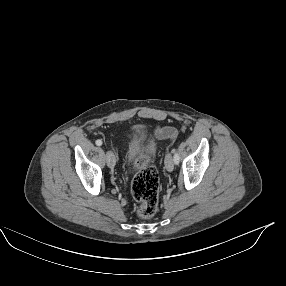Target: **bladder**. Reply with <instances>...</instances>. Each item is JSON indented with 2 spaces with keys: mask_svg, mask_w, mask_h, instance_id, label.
<instances>
[{
  "mask_svg": "<svg viewBox=\"0 0 286 286\" xmlns=\"http://www.w3.org/2000/svg\"><path fill=\"white\" fill-rule=\"evenodd\" d=\"M158 147L151 136H135L126 146L124 159L130 172L138 170L146 161L156 157Z\"/></svg>",
  "mask_w": 286,
  "mask_h": 286,
  "instance_id": "1",
  "label": "bladder"
}]
</instances>
